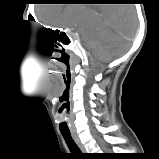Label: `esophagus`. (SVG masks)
Wrapping results in <instances>:
<instances>
[{
	"label": "esophagus",
	"mask_w": 159,
	"mask_h": 159,
	"mask_svg": "<svg viewBox=\"0 0 159 159\" xmlns=\"http://www.w3.org/2000/svg\"><path fill=\"white\" fill-rule=\"evenodd\" d=\"M73 140L75 141V143L77 144V146L79 147V149L82 152H85V147L84 145L81 143L79 137L76 134H72Z\"/></svg>",
	"instance_id": "esophagus-1"
}]
</instances>
